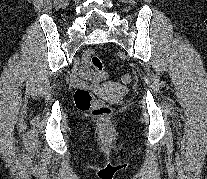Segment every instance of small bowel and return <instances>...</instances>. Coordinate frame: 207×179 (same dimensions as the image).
Wrapping results in <instances>:
<instances>
[{
  "mask_svg": "<svg viewBox=\"0 0 207 179\" xmlns=\"http://www.w3.org/2000/svg\"><path fill=\"white\" fill-rule=\"evenodd\" d=\"M92 55H94L92 50H88L83 54L80 67L72 78L75 85L96 88L101 81L97 72L92 69L90 62Z\"/></svg>",
  "mask_w": 207,
  "mask_h": 179,
  "instance_id": "1",
  "label": "small bowel"
}]
</instances>
